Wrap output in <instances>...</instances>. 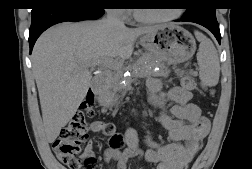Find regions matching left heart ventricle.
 <instances>
[{
	"instance_id": "left-heart-ventricle-1",
	"label": "left heart ventricle",
	"mask_w": 252,
	"mask_h": 169,
	"mask_svg": "<svg viewBox=\"0 0 252 169\" xmlns=\"http://www.w3.org/2000/svg\"><path fill=\"white\" fill-rule=\"evenodd\" d=\"M137 12L143 16L148 18L159 17L167 14L170 11H160V10H151V9H138Z\"/></svg>"
}]
</instances>
